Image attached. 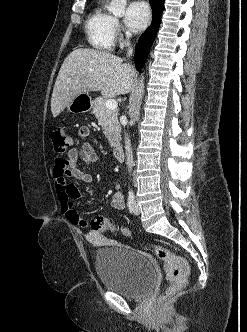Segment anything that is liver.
<instances>
[{
    "mask_svg": "<svg viewBox=\"0 0 247 332\" xmlns=\"http://www.w3.org/2000/svg\"><path fill=\"white\" fill-rule=\"evenodd\" d=\"M133 77V68L116 55L96 49H75L64 60L54 85L53 117L79 94L101 91L103 96L113 97L127 93Z\"/></svg>",
    "mask_w": 247,
    "mask_h": 332,
    "instance_id": "obj_1",
    "label": "liver"
}]
</instances>
